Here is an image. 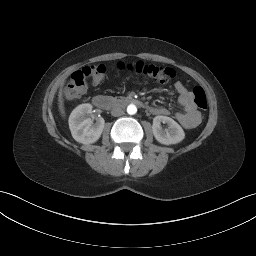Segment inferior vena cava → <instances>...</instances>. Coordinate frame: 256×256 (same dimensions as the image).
I'll use <instances>...</instances> for the list:
<instances>
[{"label":"inferior vena cava","mask_w":256,"mask_h":256,"mask_svg":"<svg viewBox=\"0 0 256 256\" xmlns=\"http://www.w3.org/2000/svg\"><path fill=\"white\" fill-rule=\"evenodd\" d=\"M123 114H124V111L120 107H115L111 111V115L114 116V117H118V116H121Z\"/></svg>","instance_id":"602c4592"}]
</instances>
